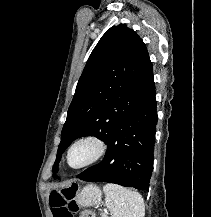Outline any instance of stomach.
I'll return each instance as SVG.
<instances>
[{
	"instance_id": "obj_1",
	"label": "stomach",
	"mask_w": 211,
	"mask_h": 217,
	"mask_svg": "<svg viewBox=\"0 0 211 217\" xmlns=\"http://www.w3.org/2000/svg\"><path fill=\"white\" fill-rule=\"evenodd\" d=\"M102 192L96 185L90 184L85 186L76 194V201L84 207L93 206L101 202Z\"/></svg>"
}]
</instances>
